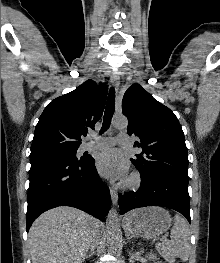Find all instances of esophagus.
<instances>
[{
  "instance_id": "obj_1",
  "label": "esophagus",
  "mask_w": 220,
  "mask_h": 263,
  "mask_svg": "<svg viewBox=\"0 0 220 263\" xmlns=\"http://www.w3.org/2000/svg\"><path fill=\"white\" fill-rule=\"evenodd\" d=\"M111 83L116 89L119 87L120 77H119V75L117 73H113L111 75ZM110 195H111V199H112L113 205H117V202H118V193H117V191L112 189V188H110Z\"/></svg>"
}]
</instances>
